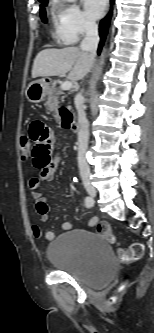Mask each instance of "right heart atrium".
<instances>
[{
	"label": "right heart atrium",
	"instance_id": "d8ad5b80",
	"mask_svg": "<svg viewBox=\"0 0 154 333\" xmlns=\"http://www.w3.org/2000/svg\"><path fill=\"white\" fill-rule=\"evenodd\" d=\"M58 7V39L61 42L74 44L96 30L95 23L84 14L76 3L63 2Z\"/></svg>",
	"mask_w": 154,
	"mask_h": 333
}]
</instances>
